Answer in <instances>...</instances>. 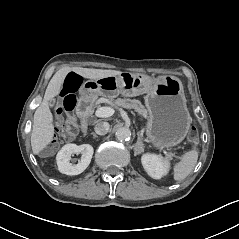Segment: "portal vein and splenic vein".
<instances>
[{
	"label": "portal vein and splenic vein",
	"instance_id": "1",
	"mask_svg": "<svg viewBox=\"0 0 239 239\" xmlns=\"http://www.w3.org/2000/svg\"><path fill=\"white\" fill-rule=\"evenodd\" d=\"M114 112L115 111L113 109L107 107H100L95 110L94 116L97 118L109 117L114 114ZM162 152L164 153L166 159L168 158V156H170V153H168L167 150L163 149Z\"/></svg>",
	"mask_w": 239,
	"mask_h": 239
}]
</instances>
